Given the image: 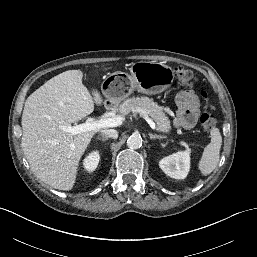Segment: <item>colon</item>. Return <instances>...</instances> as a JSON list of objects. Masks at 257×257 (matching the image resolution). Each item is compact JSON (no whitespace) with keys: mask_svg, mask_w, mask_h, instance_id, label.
Listing matches in <instances>:
<instances>
[{"mask_svg":"<svg viewBox=\"0 0 257 257\" xmlns=\"http://www.w3.org/2000/svg\"><path fill=\"white\" fill-rule=\"evenodd\" d=\"M175 76L180 84L187 87H193L197 82V78L193 72L183 67H177L175 69ZM201 97L204 100V107L200 116V124L204 131L210 132L217 124V116L208 101V94L206 91L201 92Z\"/></svg>","mask_w":257,"mask_h":257,"instance_id":"5ec220e1","label":"colon"}]
</instances>
